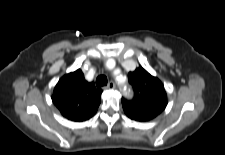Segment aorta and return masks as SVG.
<instances>
[{
    "instance_id": "1",
    "label": "aorta",
    "mask_w": 225,
    "mask_h": 155,
    "mask_svg": "<svg viewBox=\"0 0 225 155\" xmlns=\"http://www.w3.org/2000/svg\"><path fill=\"white\" fill-rule=\"evenodd\" d=\"M120 87H121L124 91H126V89H127V87H126L125 84H120Z\"/></svg>"
}]
</instances>
